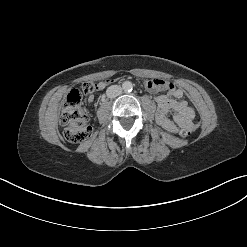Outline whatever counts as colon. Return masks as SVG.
Returning <instances> with one entry per match:
<instances>
[{
  "label": "colon",
  "mask_w": 247,
  "mask_h": 247,
  "mask_svg": "<svg viewBox=\"0 0 247 247\" xmlns=\"http://www.w3.org/2000/svg\"><path fill=\"white\" fill-rule=\"evenodd\" d=\"M97 89L93 82H85L81 90L73 89L66 97L62 114L61 124L64 127L63 136L71 143H79L89 139L92 135V127L85 110L81 106L82 94H91ZM190 130L181 128L179 135L186 138Z\"/></svg>",
  "instance_id": "obj_1"
}]
</instances>
